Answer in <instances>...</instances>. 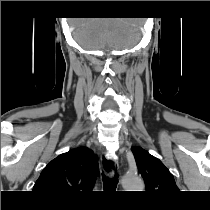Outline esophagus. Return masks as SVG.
Returning <instances> with one entry per match:
<instances>
[{
    "mask_svg": "<svg viewBox=\"0 0 210 210\" xmlns=\"http://www.w3.org/2000/svg\"><path fill=\"white\" fill-rule=\"evenodd\" d=\"M101 165L107 177L111 178L113 175L112 174L113 167H115V165H118V163L115 160V158L109 157L106 152H102Z\"/></svg>",
    "mask_w": 210,
    "mask_h": 210,
    "instance_id": "1",
    "label": "esophagus"
}]
</instances>
